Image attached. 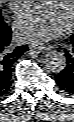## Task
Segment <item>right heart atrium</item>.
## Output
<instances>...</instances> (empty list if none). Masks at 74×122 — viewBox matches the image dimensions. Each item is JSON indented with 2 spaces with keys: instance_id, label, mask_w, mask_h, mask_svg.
<instances>
[{
  "instance_id": "right-heart-atrium-1",
  "label": "right heart atrium",
  "mask_w": 74,
  "mask_h": 122,
  "mask_svg": "<svg viewBox=\"0 0 74 122\" xmlns=\"http://www.w3.org/2000/svg\"><path fill=\"white\" fill-rule=\"evenodd\" d=\"M9 8L15 15H22L28 10L31 1H6ZM17 17V18H18Z\"/></svg>"
}]
</instances>
